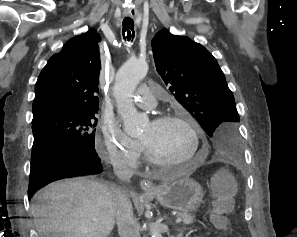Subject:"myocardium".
Instances as JSON below:
<instances>
[{
  "instance_id": "f54148a6",
  "label": "myocardium",
  "mask_w": 297,
  "mask_h": 237,
  "mask_svg": "<svg viewBox=\"0 0 297 237\" xmlns=\"http://www.w3.org/2000/svg\"><path fill=\"white\" fill-rule=\"evenodd\" d=\"M154 122L158 123H170V122H176V123H181L183 124L189 131L192 141H193V151L191 154H189L187 157L176 160V161H169V160H164L153 154L148 147L142 143V147L145 153V156L147 160L156 166H173V165H182L185 164L189 161H192L195 159L200 151V146H201V139L199 132L197 130V127L193 123V121L188 118L187 116L183 114H167V115H161L157 118H155Z\"/></svg>"
}]
</instances>
